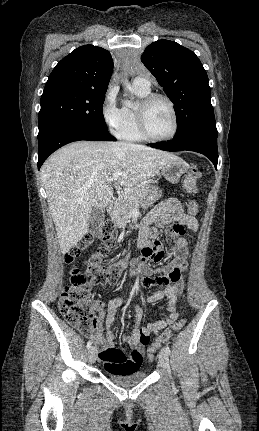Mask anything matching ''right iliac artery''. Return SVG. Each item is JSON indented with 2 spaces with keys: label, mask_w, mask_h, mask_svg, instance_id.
I'll return each instance as SVG.
<instances>
[{
  "label": "right iliac artery",
  "mask_w": 259,
  "mask_h": 431,
  "mask_svg": "<svg viewBox=\"0 0 259 431\" xmlns=\"http://www.w3.org/2000/svg\"><path fill=\"white\" fill-rule=\"evenodd\" d=\"M91 346H92V341L90 340V341H88V343H87V348H88V349H90V348H91Z\"/></svg>",
  "instance_id": "right-iliac-artery-1"
}]
</instances>
